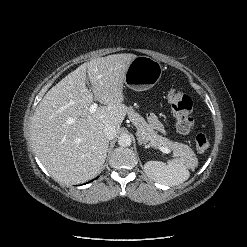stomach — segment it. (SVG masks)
I'll return each instance as SVG.
<instances>
[{"label":"stomach","mask_w":247,"mask_h":247,"mask_svg":"<svg viewBox=\"0 0 247 247\" xmlns=\"http://www.w3.org/2000/svg\"><path fill=\"white\" fill-rule=\"evenodd\" d=\"M162 70L157 60L148 56H137L128 66L124 83L134 91L148 90L159 82Z\"/></svg>","instance_id":"stomach-1"}]
</instances>
